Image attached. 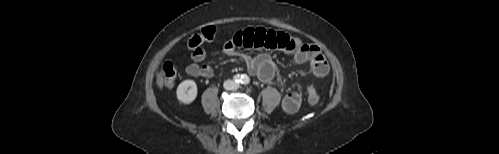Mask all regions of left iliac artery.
<instances>
[{
	"label": "left iliac artery",
	"mask_w": 499,
	"mask_h": 154,
	"mask_svg": "<svg viewBox=\"0 0 499 154\" xmlns=\"http://www.w3.org/2000/svg\"><path fill=\"white\" fill-rule=\"evenodd\" d=\"M242 84L248 85L250 83V78L247 75H243Z\"/></svg>",
	"instance_id": "obj_1"
}]
</instances>
